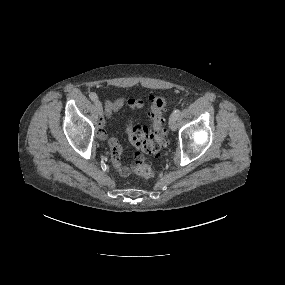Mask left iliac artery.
<instances>
[{"label": "left iliac artery", "mask_w": 285, "mask_h": 285, "mask_svg": "<svg viewBox=\"0 0 285 285\" xmlns=\"http://www.w3.org/2000/svg\"><path fill=\"white\" fill-rule=\"evenodd\" d=\"M180 113H181V110L180 109H176V110L173 111L172 116L178 118Z\"/></svg>", "instance_id": "left-iliac-artery-1"}]
</instances>
